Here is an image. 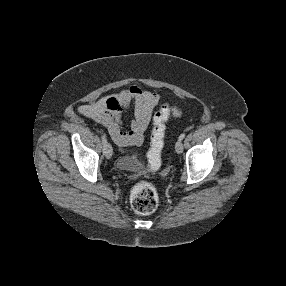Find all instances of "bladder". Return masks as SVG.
<instances>
[{
	"label": "bladder",
	"mask_w": 286,
	"mask_h": 286,
	"mask_svg": "<svg viewBox=\"0 0 286 286\" xmlns=\"http://www.w3.org/2000/svg\"><path fill=\"white\" fill-rule=\"evenodd\" d=\"M140 166V158L138 154L121 156L116 161V167L121 171H131Z\"/></svg>",
	"instance_id": "obj_1"
}]
</instances>
